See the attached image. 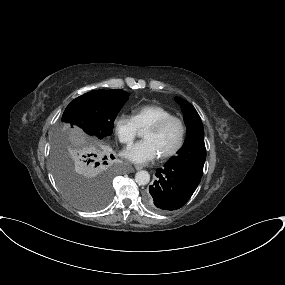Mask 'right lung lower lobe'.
<instances>
[{
	"instance_id": "98d812e1",
	"label": "right lung lower lobe",
	"mask_w": 285,
	"mask_h": 285,
	"mask_svg": "<svg viewBox=\"0 0 285 285\" xmlns=\"http://www.w3.org/2000/svg\"><path fill=\"white\" fill-rule=\"evenodd\" d=\"M101 166H93L92 169V173H97L100 170Z\"/></svg>"
}]
</instances>
